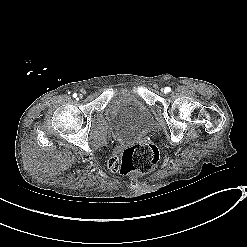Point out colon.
<instances>
[{
	"mask_svg": "<svg viewBox=\"0 0 247 247\" xmlns=\"http://www.w3.org/2000/svg\"><path fill=\"white\" fill-rule=\"evenodd\" d=\"M159 161V150L151 143H142L122 152L121 165L118 173H128L133 170L147 172Z\"/></svg>",
	"mask_w": 247,
	"mask_h": 247,
	"instance_id": "colon-1",
	"label": "colon"
}]
</instances>
